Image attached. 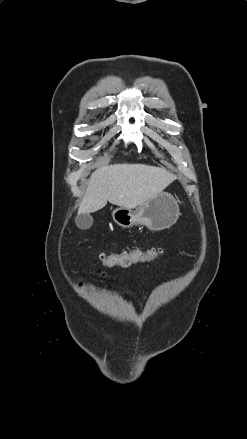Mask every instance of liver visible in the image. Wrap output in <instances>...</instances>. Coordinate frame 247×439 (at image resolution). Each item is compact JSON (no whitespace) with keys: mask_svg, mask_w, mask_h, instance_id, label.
I'll list each match as a JSON object with an SVG mask.
<instances>
[{"mask_svg":"<svg viewBox=\"0 0 247 439\" xmlns=\"http://www.w3.org/2000/svg\"><path fill=\"white\" fill-rule=\"evenodd\" d=\"M176 176L164 167L145 164H113L92 173L79 206V213H93L111 204L136 208L163 192Z\"/></svg>","mask_w":247,"mask_h":439,"instance_id":"6515ba94","label":"liver"}]
</instances>
